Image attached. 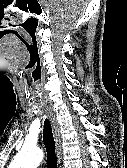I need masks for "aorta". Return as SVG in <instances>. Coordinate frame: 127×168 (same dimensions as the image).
<instances>
[{"instance_id": "aorta-1", "label": "aorta", "mask_w": 127, "mask_h": 168, "mask_svg": "<svg viewBox=\"0 0 127 168\" xmlns=\"http://www.w3.org/2000/svg\"><path fill=\"white\" fill-rule=\"evenodd\" d=\"M43 159V152L33 147H23L9 168H37Z\"/></svg>"}]
</instances>
